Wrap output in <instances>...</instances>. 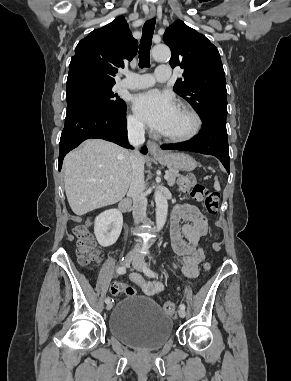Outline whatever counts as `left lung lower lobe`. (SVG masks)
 I'll use <instances>...</instances> for the list:
<instances>
[{
    "mask_svg": "<svg viewBox=\"0 0 291 381\" xmlns=\"http://www.w3.org/2000/svg\"><path fill=\"white\" fill-rule=\"evenodd\" d=\"M161 148L213 155L222 162L228 173L230 172L226 120L203 121L201 132L194 139L179 144H165Z\"/></svg>",
    "mask_w": 291,
    "mask_h": 381,
    "instance_id": "0a47b994",
    "label": "left lung lower lobe"
}]
</instances>
